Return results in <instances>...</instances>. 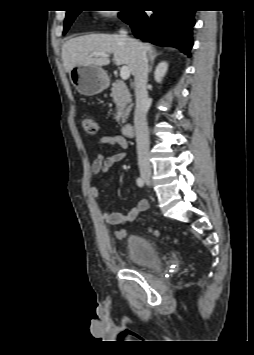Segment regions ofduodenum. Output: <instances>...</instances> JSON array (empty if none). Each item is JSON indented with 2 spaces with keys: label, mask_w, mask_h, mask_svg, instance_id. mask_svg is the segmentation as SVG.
Wrapping results in <instances>:
<instances>
[{
  "label": "duodenum",
  "mask_w": 254,
  "mask_h": 355,
  "mask_svg": "<svg viewBox=\"0 0 254 355\" xmlns=\"http://www.w3.org/2000/svg\"><path fill=\"white\" fill-rule=\"evenodd\" d=\"M135 127L132 123H126L123 126V133L126 137H132L134 135Z\"/></svg>",
  "instance_id": "obj_1"
}]
</instances>
